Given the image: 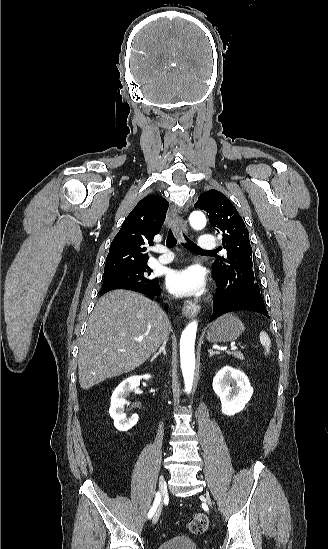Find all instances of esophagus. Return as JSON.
Masks as SVG:
<instances>
[{
  "label": "esophagus",
  "instance_id": "1",
  "mask_svg": "<svg viewBox=\"0 0 328 549\" xmlns=\"http://www.w3.org/2000/svg\"><path fill=\"white\" fill-rule=\"evenodd\" d=\"M167 225L171 227L175 235L180 238L181 232H187L186 225L181 217L177 214L176 210L171 206L167 213L166 218ZM200 307L194 300H186L182 307V315L186 318L196 317Z\"/></svg>",
  "mask_w": 328,
  "mask_h": 549
}]
</instances>
